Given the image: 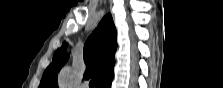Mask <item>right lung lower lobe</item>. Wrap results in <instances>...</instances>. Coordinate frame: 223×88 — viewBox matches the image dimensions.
Segmentation results:
<instances>
[{
  "label": "right lung lower lobe",
  "instance_id": "obj_1",
  "mask_svg": "<svg viewBox=\"0 0 223 88\" xmlns=\"http://www.w3.org/2000/svg\"><path fill=\"white\" fill-rule=\"evenodd\" d=\"M111 82H112V79L110 81L104 82L103 84L99 85L98 88H111Z\"/></svg>",
  "mask_w": 223,
  "mask_h": 88
}]
</instances>
